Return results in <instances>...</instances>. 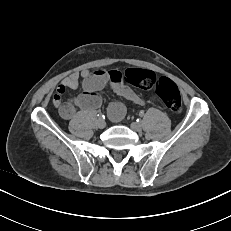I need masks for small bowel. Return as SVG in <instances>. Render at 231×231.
I'll list each match as a JSON object with an SVG mask.
<instances>
[{"instance_id":"obj_1","label":"small bowel","mask_w":231,"mask_h":231,"mask_svg":"<svg viewBox=\"0 0 231 231\" xmlns=\"http://www.w3.org/2000/svg\"><path fill=\"white\" fill-rule=\"evenodd\" d=\"M123 73L118 70L84 69L81 72H73L63 78L58 85L53 97V104L59 110L60 116L65 120H71L76 115V108L84 111L95 110L101 105L99 91L109 88L120 97L143 105L144 100L123 81ZM82 86L83 92L68 101H64L63 95L67 89H76ZM113 121H119L124 116V111L117 105H112L108 110Z\"/></svg>"}]
</instances>
